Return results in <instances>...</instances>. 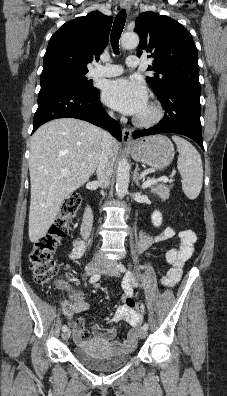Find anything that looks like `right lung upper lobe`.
<instances>
[{"label":"right lung upper lobe","instance_id":"cb5924a9","mask_svg":"<svg viewBox=\"0 0 227 396\" xmlns=\"http://www.w3.org/2000/svg\"><path fill=\"white\" fill-rule=\"evenodd\" d=\"M113 18L99 11L78 17L60 27L50 38L43 61V71L52 68L86 70L98 60L107 45Z\"/></svg>","mask_w":227,"mask_h":396}]
</instances>
